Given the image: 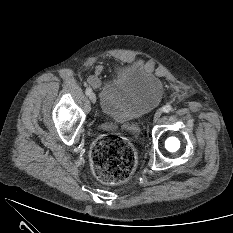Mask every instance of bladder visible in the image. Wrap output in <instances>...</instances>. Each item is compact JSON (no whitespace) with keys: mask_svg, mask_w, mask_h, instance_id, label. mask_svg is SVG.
<instances>
[{"mask_svg":"<svg viewBox=\"0 0 233 233\" xmlns=\"http://www.w3.org/2000/svg\"><path fill=\"white\" fill-rule=\"evenodd\" d=\"M164 94L163 82L139 63L119 69L99 89L101 111L116 122H129L154 109Z\"/></svg>","mask_w":233,"mask_h":233,"instance_id":"bladder-1","label":"bladder"}]
</instances>
